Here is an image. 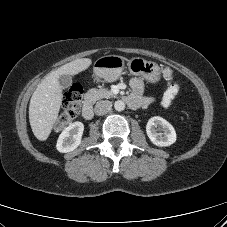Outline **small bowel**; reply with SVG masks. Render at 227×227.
Here are the masks:
<instances>
[{"label":"small bowel","instance_id":"small-bowel-1","mask_svg":"<svg viewBox=\"0 0 227 227\" xmlns=\"http://www.w3.org/2000/svg\"><path fill=\"white\" fill-rule=\"evenodd\" d=\"M164 77L168 81V87L161 98V105L164 108H167L172 104L177 94L179 93V86L178 84L171 82V72L169 70L164 71ZM131 88L133 92L128 97V99L134 105L132 108L147 107L150 103H152V97L144 96V84L140 79H132Z\"/></svg>","mask_w":227,"mask_h":227}]
</instances>
